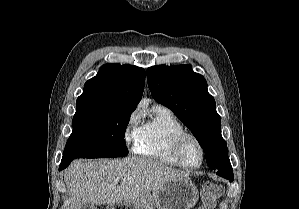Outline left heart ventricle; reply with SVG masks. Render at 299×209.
<instances>
[{
    "label": "left heart ventricle",
    "mask_w": 299,
    "mask_h": 209,
    "mask_svg": "<svg viewBox=\"0 0 299 209\" xmlns=\"http://www.w3.org/2000/svg\"><path fill=\"white\" fill-rule=\"evenodd\" d=\"M183 160L190 166H196L201 161V151L193 140H187L183 149Z\"/></svg>",
    "instance_id": "left-heart-ventricle-1"
}]
</instances>
